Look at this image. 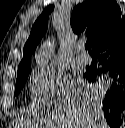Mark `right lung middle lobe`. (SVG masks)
I'll return each mask as SVG.
<instances>
[{"instance_id": "obj_1", "label": "right lung middle lobe", "mask_w": 125, "mask_h": 128, "mask_svg": "<svg viewBox=\"0 0 125 128\" xmlns=\"http://www.w3.org/2000/svg\"><path fill=\"white\" fill-rule=\"evenodd\" d=\"M30 71H31V67H27L26 69L17 72L15 95H17L23 89ZM99 80L102 81L103 78ZM95 83L98 84V81H96Z\"/></svg>"}]
</instances>
